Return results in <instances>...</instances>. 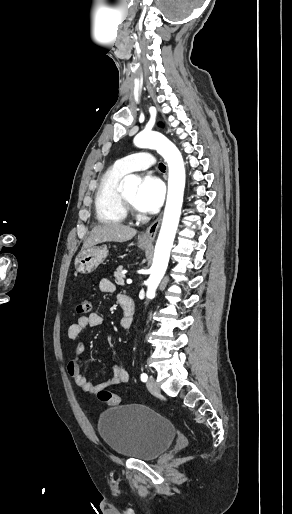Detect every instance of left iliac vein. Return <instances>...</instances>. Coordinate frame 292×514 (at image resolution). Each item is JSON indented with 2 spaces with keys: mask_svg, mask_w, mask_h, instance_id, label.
Here are the masks:
<instances>
[{
  "mask_svg": "<svg viewBox=\"0 0 292 514\" xmlns=\"http://www.w3.org/2000/svg\"><path fill=\"white\" fill-rule=\"evenodd\" d=\"M147 388L149 392L153 395H158L160 393V389L158 384L156 383L153 376H150L147 381Z\"/></svg>",
  "mask_w": 292,
  "mask_h": 514,
  "instance_id": "4c4485c4",
  "label": "left iliac vein"
}]
</instances>
